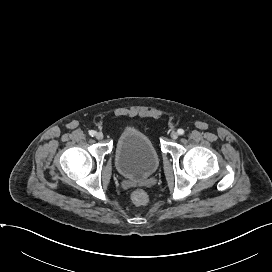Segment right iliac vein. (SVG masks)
Returning a JSON list of instances; mask_svg holds the SVG:
<instances>
[{
	"label": "right iliac vein",
	"mask_w": 272,
	"mask_h": 272,
	"mask_svg": "<svg viewBox=\"0 0 272 272\" xmlns=\"http://www.w3.org/2000/svg\"><path fill=\"white\" fill-rule=\"evenodd\" d=\"M95 137H96V139L101 140V139H103V133L102 132H97L95 134Z\"/></svg>",
	"instance_id": "63e3f726"
}]
</instances>
